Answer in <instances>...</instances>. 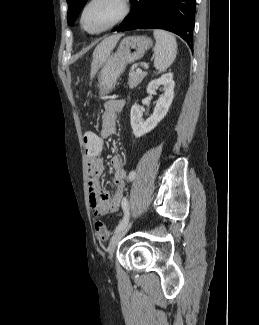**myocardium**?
Wrapping results in <instances>:
<instances>
[{
    "instance_id": "obj_1",
    "label": "myocardium",
    "mask_w": 259,
    "mask_h": 325,
    "mask_svg": "<svg viewBox=\"0 0 259 325\" xmlns=\"http://www.w3.org/2000/svg\"><path fill=\"white\" fill-rule=\"evenodd\" d=\"M95 0H87L83 6L81 7L80 13H79V25L80 28L91 35H97V34H101L103 32H106L112 28H114L115 26L119 25L120 23H122L127 16L129 15L130 11H131V3L130 0H119L122 10L120 15L114 20L112 21L110 24L106 25L105 27L98 29V30H89L86 28L85 24H84V15L85 12L87 10V8L94 2Z\"/></svg>"
}]
</instances>
